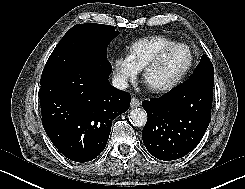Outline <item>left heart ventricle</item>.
Listing matches in <instances>:
<instances>
[{
	"instance_id": "obj_1",
	"label": "left heart ventricle",
	"mask_w": 245,
	"mask_h": 189,
	"mask_svg": "<svg viewBox=\"0 0 245 189\" xmlns=\"http://www.w3.org/2000/svg\"><path fill=\"white\" fill-rule=\"evenodd\" d=\"M189 52L185 48L170 51L153 70L149 72L145 83L150 88L164 86L175 80L187 67Z\"/></svg>"
}]
</instances>
